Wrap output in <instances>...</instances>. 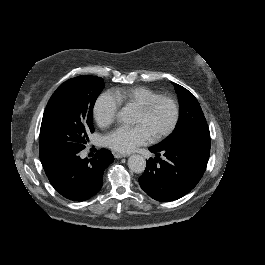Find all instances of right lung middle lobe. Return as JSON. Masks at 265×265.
<instances>
[{
	"mask_svg": "<svg viewBox=\"0 0 265 265\" xmlns=\"http://www.w3.org/2000/svg\"><path fill=\"white\" fill-rule=\"evenodd\" d=\"M104 88L103 79L79 76L62 83L45 109L39 136L40 160L73 155L85 148L94 131L92 110Z\"/></svg>",
	"mask_w": 265,
	"mask_h": 265,
	"instance_id": "right-lung-middle-lobe-1",
	"label": "right lung middle lobe"
}]
</instances>
